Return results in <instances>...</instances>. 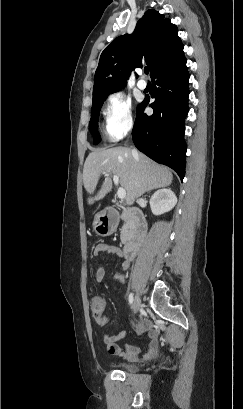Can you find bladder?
I'll use <instances>...</instances> for the list:
<instances>
[{
	"label": "bladder",
	"instance_id": "1",
	"mask_svg": "<svg viewBox=\"0 0 243 409\" xmlns=\"http://www.w3.org/2000/svg\"><path fill=\"white\" fill-rule=\"evenodd\" d=\"M115 366L119 367L122 371L126 373H135L137 372V366L133 363L122 362L118 363Z\"/></svg>",
	"mask_w": 243,
	"mask_h": 409
}]
</instances>
